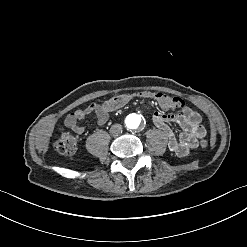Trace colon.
<instances>
[{
    "label": "colon",
    "mask_w": 247,
    "mask_h": 247,
    "mask_svg": "<svg viewBox=\"0 0 247 247\" xmlns=\"http://www.w3.org/2000/svg\"><path fill=\"white\" fill-rule=\"evenodd\" d=\"M135 96H146L153 101H161L162 109H170L172 107L171 99L168 92H154L152 88H143L140 92H117L110 100L106 102L108 109H122L123 105H127L128 101H134ZM59 132L57 138L52 142L53 149L66 157L74 155L77 147V139L69 133L64 127ZM200 147L203 153L210 152V144L206 139H201Z\"/></svg>",
    "instance_id": "obj_1"
}]
</instances>
